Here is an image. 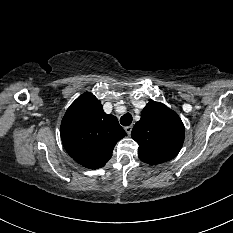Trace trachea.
<instances>
[{
	"label": "trachea",
	"instance_id": "obj_1",
	"mask_svg": "<svg viewBox=\"0 0 233 233\" xmlns=\"http://www.w3.org/2000/svg\"><path fill=\"white\" fill-rule=\"evenodd\" d=\"M120 123L123 126H129L132 123V115L130 113H126L124 114L121 118H120Z\"/></svg>",
	"mask_w": 233,
	"mask_h": 233
}]
</instances>
